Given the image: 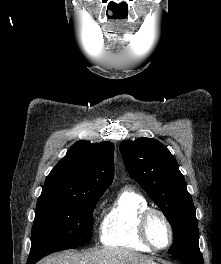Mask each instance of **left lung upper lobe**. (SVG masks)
I'll list each match as a JSON object with an SVG mask.
<instances>
[{"label":"left lung upper lobe","instance_id":"obj_1","mask_svg":"<svg viewBox=\"0 0 221 264\" xmlns=\"http://www.w3.org/2000/svg\"><path fill=\"white\" fill-rule=\"evenodd\" d=\"M120 151L130 176L159 206L172 226L174 241L168 253L199 254L195 207L174 156L151 138L123 141Z\"/></svg>","mask_w":221,"mask_h":264}]
</instances>
